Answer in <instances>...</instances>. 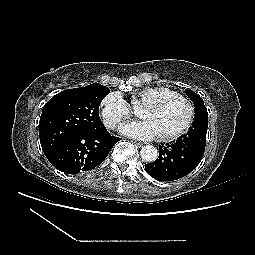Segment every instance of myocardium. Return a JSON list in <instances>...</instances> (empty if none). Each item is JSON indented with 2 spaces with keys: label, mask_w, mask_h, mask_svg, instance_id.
Segmentation results:
<instances>
[{
  "label": "myocardium",
  "mask_w": 255,
  "mask_h": 255,
  "mask_svg": "<svg viewBox=\"0 0 255 255\" xmlns=\"http://www.w3.org/2000/svg\"><path fill=\"white\" fill-rule=\"evenodd\" d=\"M171 101H178L186 107L187 119H186L185 123L179 129H177L171 133L159 136V140L162 142L173 141V140L183 136L191 129V127L194 123V120H195L196 112H195L194 104L187 97H185L184 95L177 93V92H172L168 95L161 96V97L157 98L156 100L151 101L145 105L151 106V107H160V106H162L168 102H171Z\"/></svg>",
  "instance_id": "obj_1"
}]
</instances>
